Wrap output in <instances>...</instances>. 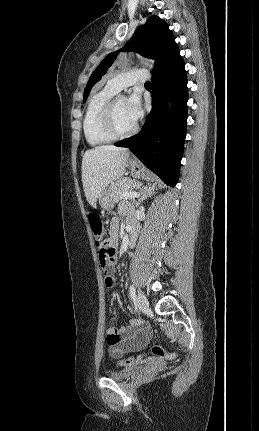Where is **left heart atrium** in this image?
<instances>
[{
	"label": "left heart atrium",
	"instance_id": "1",
	"mask_svg": "<svg viewBox=\"0 0 259 431\" xmlns=\"http://www.w3.org/2000/svg\"><path fill=\"white\" fill-rule=\"evenodd\" d=\"M126 112L129 118L136 123L143 116V106L138 92H133L126 99Z\"/></svg>",
	"mask_w": 259,
	"mask_h": 431
}]
</instances>
